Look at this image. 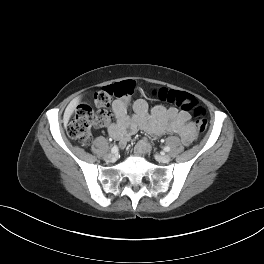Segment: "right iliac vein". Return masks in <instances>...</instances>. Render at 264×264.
I'll return each instance as SVG.
<instances>
[{
	"mask_svg": "<svg viewBox=\"0 0 264 264\" xmlns=\"http://www.w3.org/2000/svg\"><path fill=\"white\" fill-rule=\"evenodd\" d=\"M105 160H107L109 162H115L117 160V156L114 154H107L105 156Z\"/></svg>",
	"mask_w": 264,
	"mask_h": 264,
	"instance_id": "63e3f726",
	"label": "right iliac vein"
}]
</instances>
